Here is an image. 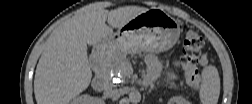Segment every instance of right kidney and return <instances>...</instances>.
<instances>
[{
	"instance_id": "right-kidney-1",
	"label": "right kidney",
	"mask_w": 252,
	"mask_h": 104,
	"mask_svg": "<svg viewBox=\"0 0 252 104\" xmlns=\"http://www.w3.org/2000/svg\"><path fill=\"white\" fill-rule=\"evenodd\" d=\"M97 101L98 99H96V102ZM71 103L72 104H90V103H94V100L90 95L84 94V95L74 98Z\"/></svg>"
}]
</instances>
